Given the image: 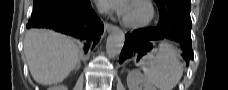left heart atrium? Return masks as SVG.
Masks as SVG:
<instances>
[{
	"label": "left heart atrium",
	"instance_id": "1",
	"mask_svg": "<svg viewBox=\"0 0 228 90\" xmlns=\"http://www.w3.org/2000/svg\"><path fill=\"white\" fill-rule=\"evenodd\" d=\"M127 7H128V5L125 4V3L124 4L115 5V8L117 9V11L123 16H125Z\"/></svg>",
	"mask_w": 228,
	"mask_h": 90
}]
</instances>
